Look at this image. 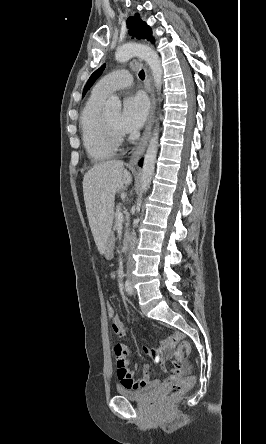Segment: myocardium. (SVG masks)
<instances>
[{
	"instance_id": "1",
	"label": "myocardium",
	"mask_w": 266,
	"mask_h": 444,
	"mask_svg": "<svg viewBox=\"0 0 266 444\" xmlns=\"http://www.w3.org/2000/svg\"><path fill=\"white\" fill-rule=\"evenodd\" d=\"M102 129L107 141L114 147L121 145L124 141L123 132H117L109 123L106 116H103Z\"/></svg>"
}]
</instances>
